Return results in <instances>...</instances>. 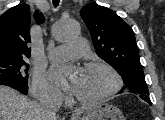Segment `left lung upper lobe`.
I'll return each instance as SVG.
<instances>
[{"mask_svg":"<svg viewBox=\"0 0 165 120\" xmlns=\"http://www.w3.org/2000/svg\"><path fill=\"white\" fill-rule=\"evenodd\" d=\"M80 15L90 31L97 55L121 75L130 92L151 103L130 26L114 11L97 4L84 6Z\"/></svg>","mask_w":165,"mask_h":120,"instance_id":"1","label":"left lung upper lobe"}]
</instances>
